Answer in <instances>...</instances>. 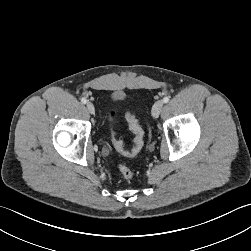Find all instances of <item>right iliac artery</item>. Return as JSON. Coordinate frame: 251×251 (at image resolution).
I'll use <instances>...</instances> for the list:
<instances>
[{"label":"right iliac artery","instance_id":"right-iliac-artery-1","mask_svg":"<svg viewBox=\"0 0 251 251\" xmlns=\"http://www.w3.org/2000/svg\"><path fill=\"white\" fill-rule=\"evenodd\" d=\"M81 102H82L83 104H86V103H87V100H86L85 98H82V99H81Z\"/></svg>","mask_w":251,"mask_h":251}]
</instances>
